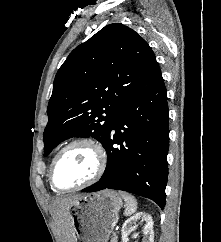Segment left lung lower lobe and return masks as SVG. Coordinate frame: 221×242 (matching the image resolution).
Masks as SVG:
<instances>
[{
	"mask_svg": "<svg viewBox=\"0 0 221 242\" xmlns=\"http://www.w3.org/2000/svg\"><path fill=\"white\" fill-rule=\"evenodd\" d=\"M169 109L161 70L131 97L111 124L104 148L108 163L101 179L84 192L123 190L166 203ZM117 144V146H116Z\"/></svg>",
	"mask_w": 221,
	"mask_h": 242,
	"instance_id": "left-lung-lower-lobe-1",
	"label": "left lung lower lobe"
}]
</instances>
